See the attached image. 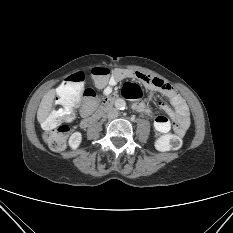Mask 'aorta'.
I'll return each mask as SVG.
<instances>
[{
  "instance_id": "obj_1",
  "label": "aorta",
  "mask_w": 233,
  "mask_h": 233,
  "mask_svg": "<svg viewBox=\"0 0 233 233\" xmlns=\"http://www.w3.org/2000/svg\"><path fill=\"white\" fill-rule=\"evenodd\" d=\"M115 105L118 109L122 110L125 108L126 103L123 99H118L116 100Z\"/></svg>"
}]
</instances>
